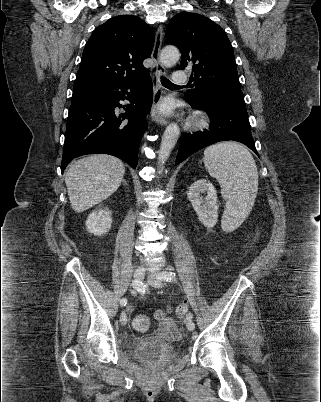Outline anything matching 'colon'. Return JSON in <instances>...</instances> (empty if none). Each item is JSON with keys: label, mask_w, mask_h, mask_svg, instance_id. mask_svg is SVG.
Here are the masks:
<instances>
[{"label": "colon", "mask_w": 321, "mask_h": 402, "mask_svg": "<svg viewBox=\"0 0 321 402\" xmlns=\"http://www.w3.org/2000/svg\"><path fill=\"white\" fill-rule=\"evenodd\" d=\"M188 311V304L186 302H182L176 308V316L179 318H183ZM134 329L139 332H145L150 327V321L145 315H137L133 319Z\"/></svg>", "instance_id": "obj_1"}]
</instances>
